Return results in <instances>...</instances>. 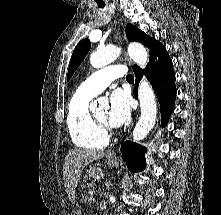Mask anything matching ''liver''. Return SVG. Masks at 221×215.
Wrapping results in <instances>:
<instances>
[{
	"label": "liver",
	"instance_id": "1",
	"mask_svg": "<svg viewBox=\"0 0 221 215\" xmlns=\"http://www.w3.org/2000/svg\"><path fill=\"white\" fill-rule=\"evenodd\" d=\"M102 151L72 149L67 153L63 165V179L66 193L71 202L75 201V192L85 166L104 157Z\"/></svg>",
	"mask_w": 221,
	"mask_h": 215
}]
</instances>
